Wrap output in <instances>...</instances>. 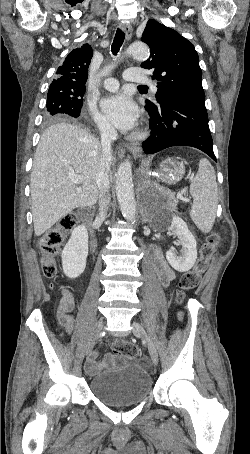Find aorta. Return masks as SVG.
<instances>
[{
  "label": "aorta",
  "mask_w": 250,
  "mask_h": 454,
  "mask_svg": "<svg viewBox=\"0 0 250 454\" xmlns=\"http://www.w3.org/2000/svg\"><path fill=\"white\" fill-rule=\"evenodd\" d=\"M126 53L136 59H147L149 56V48L143 42H133L127 48ZM120 61V59L118 60ZM116 63L101 70V76H107ZM116 195L122 215L126 220L133 222L136 217V204L134 199V189L132 180V164L128 160L122 162L116 173Z\"/></svg>",
  "instance_id": "1"
}]
</instances>
